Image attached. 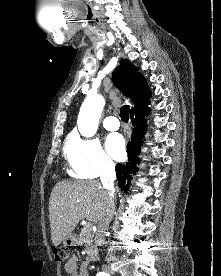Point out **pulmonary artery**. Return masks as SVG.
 <instances>
[{
  "label": "pulmonary artery",
  "instance_id": "pulmonary-artery-1",
  "mask_svg": "<svg viewBox=\"0 0 221 276\" xmlns=\"http://www.w3.org/2000/svg\"><path fill=\"white\" fill-rule=\"evenodd\" d=\"M103 126L107 130L115 131L119 128L120 124L116 117L109 116L103 120Z\"/></svg>",
  "mask_w": 221,
  "mask_h": 276
}]
</instances>
